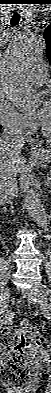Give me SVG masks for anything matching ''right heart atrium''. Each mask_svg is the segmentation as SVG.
<instances>
[{"label":"right heart atrium","instance_id":"obj_1","mask_svg":"<svg viewBox=\"0 0 51 393\" xmlns=\"http://www.w3.org/2000/svg\"><path fill=\"white\" fill-rule=\"evenodd\" d=\"M0 123L4 130L21 136L28 135L33 129L32 124L5 100L0 101Z\"/></svg>","mask_w":51,"mask_h":393}]
</instances>
